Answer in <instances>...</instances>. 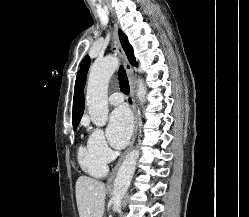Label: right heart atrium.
I'll list each match as a JSON object with an SVG mask.
<instances>
[{
  "label": "right heart atrium",
  "mask_w": 249,
  "mask_h": 217,
  "mask_svg": "<svg viewBox=\"0 0 249 217\" xmlns=\"http://www.w3.org/2000/svg\"><path fill=\"white\" fill-rule=\"evenodd\" d=\"M88 146L103 162H109L113 152L107 144L104 132L100 128H90Z\"/></svg>",
  "instance_id": "obj_1"
}]
</instances>
